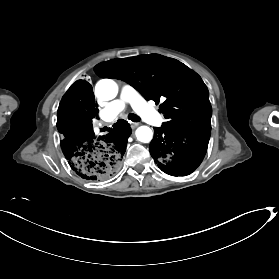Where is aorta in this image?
Listing matches in <instances>:
<instances>
[{"label":"aorta","instance_id":"762f6f07","mask_svg":"<svg viewBox=\"0 0 279 279\" xmlns=\"http://www.w3.org/2000/svg\"><path fill=\"white\" fill-rule=\"evenodd\" d=\"M118 86L112 79H102L95 86L97 98L108 101L117 96ZM136 137L140 142L148 143L152 140L153 132L148 126H140L136 129Z\"/></svg>","mask_w":279,"mask_h":279}]
</instances>
